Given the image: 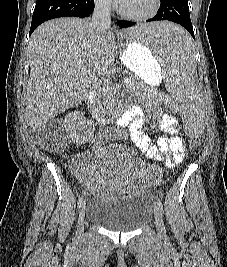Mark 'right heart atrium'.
Returning <instances> with one entry per match:
<instances>
[{
	"label": "right heart atrium",
	"mask_w": 227,
	"mask_h": 267,
	"mask_svg": "<svg viewBox=\"0 0 227 267\" xmlns=\"http://www.w3.org/2000/svg\"><path fill=\"white\" fill-rule=\"evenodd\" d=\"M112 0H94L95 6L101 10H109Z\"/></svg>",
	"instance_id": "1"
}]
</instances>
